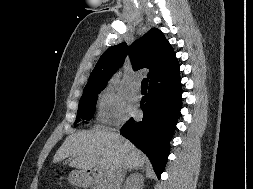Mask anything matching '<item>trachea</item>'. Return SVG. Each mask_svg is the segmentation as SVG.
<instances>
[{"mask_svg": "<svg viewBox=\"0 0 253 189\" xmlns=\"http://www.w3.org/2000/svg\"><path fill=\"white\" fill-rule=\"evenodd\" d=\"M148 86V78H144L141 83L142 88H147Z\"/></svg>", "mask_w": 253, "mask_h": 189, "instance_id": "3493384b", "label": "trachea"}]
</instances>
